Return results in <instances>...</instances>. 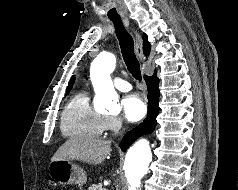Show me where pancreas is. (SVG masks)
I'll return each mask as SVG.
<instances>
[{"mask_svg":"<svg viewBox=\"0 0 238 190\" xmlns=\"http://www.w3.org/2000/svg\"><path fill=\"white\" fill-rule=\"evenodd\" d=\"M104 188H102V184L99 183V184H93L92 186H90L88 188V190H103Z\"/></svg>","mask_w":238,"mask_h":190,"instance_id":"pancreas-1","label":"pancreas"}]
</instances>
